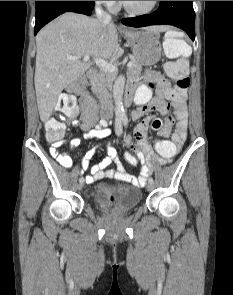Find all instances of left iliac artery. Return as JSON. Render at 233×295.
Listing matches in <instances>:
<instances>
[{"mask_svg":"<svg viewBox=\"0 0 233 295\" xmlns=\"http://www.w3.org/2000/svg\"><path fill=\"white\" fill-rule=\"evenodd\" d=\"M122 121H123V124L126 126L127 123H128V119H127V117L122 118ZM148 182H149V183H154L153 178H149V179H148Z\"/></svg>","mask_w":233,"mask_h":295,"instance_id":"44dca946","label":"left iliac artery"}]
</instances>
